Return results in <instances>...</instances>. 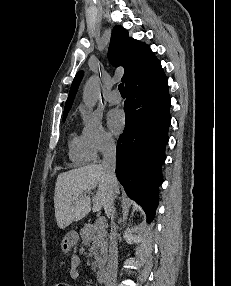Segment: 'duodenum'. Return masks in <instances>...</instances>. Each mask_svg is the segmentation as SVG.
I'll return each mask as SVG.
<instances>
[{"label":"duodenum","instance_id":"1","mask_svg":"<svg viewBox=\"0 0 231 286\" xmlns=\"http://www.w3.org/2000/svg\"><path fill=\"white\" fill-rule=\"evenodd\" d=\"M96 279L99 283H104L106 281V272L103 268L97 271Z\"/></svg>","mask_w":231,"mask_h":286}]
</instances>
